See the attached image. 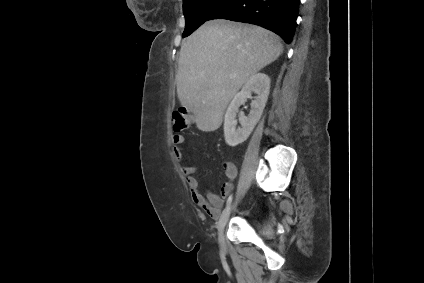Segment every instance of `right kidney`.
I'll return each instance as SVG.
<instances>
[{
	"label": "right kidney",
	"instance_id": "obj_1",
	"mask_svg": "<svg viewBox=\"0 0 424 283\" xmlns=\"http://www.w3.org/2000/svg\"><path fill=\"white\" fill-rule=\"evenodd\" d=\"M269 91L270 78L265 73H257L249 78L241 91L231 100L224 117V137L229 146H237L250 136L262 116ZM252 93H255L257 96L251 102L250 113L247 117L244 116L243 113H240L239 122L242 128L236 129L238 108L244 104L247 99L252 98Z\"/></svg>",
	"mask_w": 424,
	"mask_h": 283
}]
</instances>
